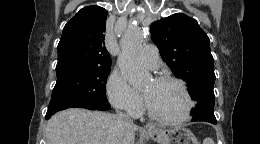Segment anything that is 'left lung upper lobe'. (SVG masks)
I'll return each instance as SVG.
<instances>
[{
	"instance_id": "left-lung-upper-lobe-1",
	"label": "left lung upper lobe",
	"mask_w": 260,
	"mask_h": 144,
	"mask_svg": "<svg viewBox=\"0 0 260 144\" xmlns=\"http://www.w3.org/2000/svg\"><path fill=\"white\" fill-rule=\"evenodd\" d=\"M150 30L162 59L175 77L188 83L189 93L197 101L192 120H216L214 59L206 33L195 19L182 13L152 23Z\"/></svg>"
}]
</instances>
